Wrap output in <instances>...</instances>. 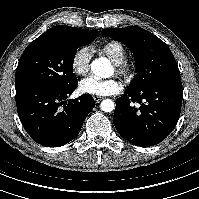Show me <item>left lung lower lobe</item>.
Listing matches in <instances>:
<instances>
[{
  "label": "left lung lower lobe",
  "instance_id": "0a47b994",
  "mask_svg": "<svg viewBox=\"0 0 199 199\" xmlns=\"http://www.w3.org/2000/svg\"><path fill=\"white\" fill-rule=\"evenodd\" d=\"M116 100L113 122L118 133L137 146H154L174 129L181 111V77L155 81ZM133 103H139L136 108Z\"/></svg>",
  "mask_w": 199,
  "mask_h": 199
}]
</instances>
